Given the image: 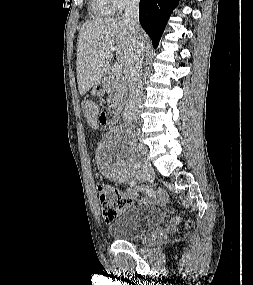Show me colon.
I'll return each mask as SVG.
<instances>
[{
    "instance_id": "5ec220e1",
    "label": "colon",
    "mask_w": 253,
    "mask_h": 285,
    "mask_svg": "<svg viewBox=\"0 0 253 285\" xmlns=\"http://www.w3.org/2000/svg\"><path fill=\"white\" fill-rule=\"evenodd\" d=\"M84 115L92 128H99V112L92 104H85ZM98 194L102 204V214L107 222L114 220L120 210L130 206L133 202L125 191L108 186H99Z\"/></svg>"
}]
</instances>
